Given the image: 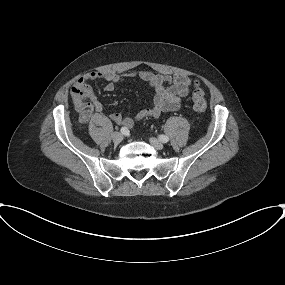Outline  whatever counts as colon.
I'll use <instances>...</instances> for the list:
<instances>
[{
	"label": "colon",
	"mask_w": 285,
	"mask_h": 285,
	"mask_svg": "<svg viewBox=\"0 0 285 285\" xmlns=\"http://www.w3.org/2000/svg\"><path fill=\"white\" fill-rule=\"evenodd\" d=\"M193 108L197 115H202L207 107L204 93L201 89L196 88L192 95Z\"/></svg>",
	"instance_id": "1"
}]
</instances>
